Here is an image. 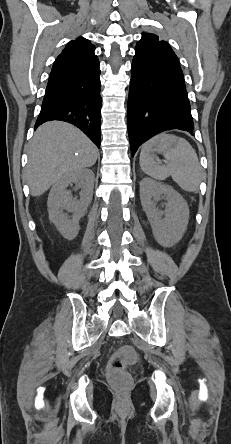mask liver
Returning <instances> with one entry per match:
<instances>
[{"label": "liver", "instance_id": "obj_1", "mask_svg": "<svg viewBox=\"0 0 231 444\" xmlns=\"http://www.w3.org/2000/svg\"><path fill=\"white\" fill-rule=\"evenodd\" d=\"M97 157L95 144L76 127L61 121L44 123L28 150L24 177L31 195L41 196L64 175L93 166Z\"/></svg>", "mask_w": 231, "mask_h": 444}]
</instances>
